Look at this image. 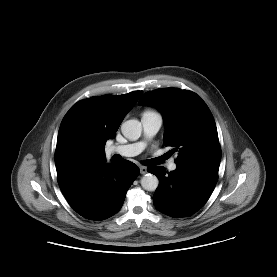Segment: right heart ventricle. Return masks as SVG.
<instances>
[{"label": "right heart ventricle", "instance_id": "1", "mask_svg": "<svg viewBox=\"0 0 277 277\" xmlns=\"http://www.w3.org/2000/svg\"><path fill=\"white\" fill-rule=\"evenodd\" d=\"M144 113H155V112H153V111H145Z\"/></svg>", "mask_w": 277, "mask_h": 277}]
</instances>
